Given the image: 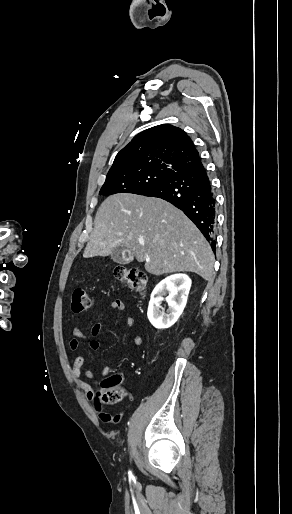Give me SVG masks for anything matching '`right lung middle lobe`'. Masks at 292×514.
Wrapping results in <instances>:
<instances>
[{
	"label": "right lung middle lobe",
	"instance_id": "dd1d6c3e",
	"mask_svg": "<svg viewBox=\"0 0 292 514\" xmlns=\"http://www.w3.org/2000/svg\"><path fill=\"white\" fill-rule=\"evenodd\" d=\"M168 172H144L131 175L106 177L99 194L108 196L116 193H133L143 195L168 179Z\"/></svg>",
	"mask_w": 292,
	"mask_h": 514
}]
</instances>
